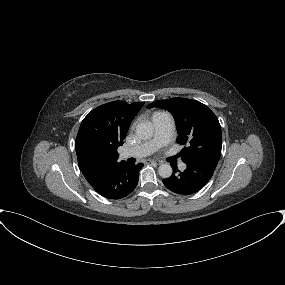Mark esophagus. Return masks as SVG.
I'll list each match as a JSON object with an SVG mask.
<instances>
[{"instance_id": "1", "label": "esophagus", "mask_w": 285, "mask_h": 285, "mask_svg": "<svg viewBox=\"0 0 285 285\" xmlns=\"http://www.w3.org/2000/svg\"><path fill=\"white\" fill-rule=\"evenodd\" d=\"M151 163H155L156 165H160L162 162L158 160H150Z\"/></svg>"}]
</instances>
